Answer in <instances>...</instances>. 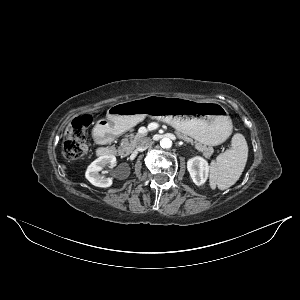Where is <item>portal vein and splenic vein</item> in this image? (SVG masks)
<instances>
[{"instance_id": "portal-vein-and-splenic-vein-1", "label": "portal vein and splenic vein", "mask_w": 300, "mask_h": 300, "mask_svg": "<svg viewBox=\"0 0 300 300\" xmlns=\"http://www.w3.org/2000/svg\"><path fill=\"white\" fill-rule=\"evenodd\" d=\"M156 127H153V128H151L150 130H153V129H155Z\"/></svg>"}]
</instances>
